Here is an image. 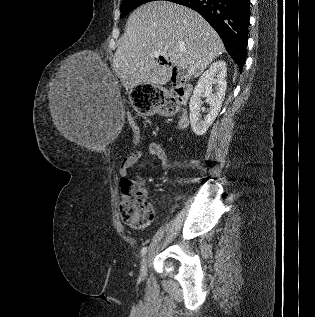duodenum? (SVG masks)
<instances>
[{"mask_svg": "<svg viewBox=\"0 0 315 317\" xmlns=\"http://www.w3.org/2000/svg\"><path fill=\"white\" fill-rule=\"evenodd\" d=\"M171 83L174 88H177L180 85V81L177 74L173 75L171 79ZM187 124H188V117L186 114H183L181 118L179 119L178 126L179 128H185Z\"/></svg>", "mask_w": 315, "mask_h": 317, "instance_id": "410a0bca", "label": "duodenum"}]
</instances>
